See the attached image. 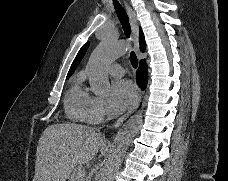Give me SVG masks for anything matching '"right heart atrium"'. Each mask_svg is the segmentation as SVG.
<instances>
[{
  "label": "right heart atrium",
  "mask_w": 228,
  "mask_h": 181,
  "mask_svg": "<svg viewBox=\"0 0 228 181\" xmlns=\"http://www.w3.org/2000/svg\"><path fill=\"white\" fill-rule=\"evenodd\" d=\"M108 112V106L104 98L100 96L90 97L87 104L86 120L91 124L101 122Z\"/></svg>",
  "instance_id": "d8ad5b80"
}]
</instances>
